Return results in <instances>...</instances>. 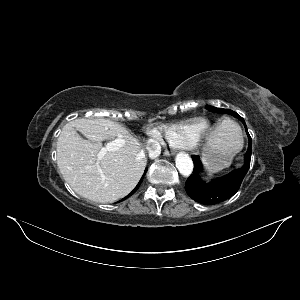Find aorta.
Here are the masks:
<instances>
[{
    "mask_svg": "<svg viewBox=\"0 0 300 300\" xmlns=\"http://www.w3.org/2000/svg\"><path fill=\"white\" fill-rule=\"evenodd\" d=\"M176 167L181 175L187 177L193 171V161L186 153L180 152L175 159Z\"/></svg>",
    "mask_w": 300,
    "mask_h": 300,
    "instance_id": "762f6f07",
    "label": "aorta"
}]
</instances>
